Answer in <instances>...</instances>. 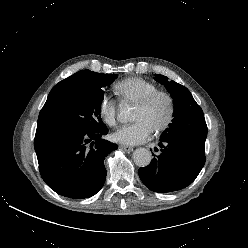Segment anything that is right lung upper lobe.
<instances>
[{
    "label": "right lung upper lobe",
    "instance_id": "right-lung-upper-lobe-1",
    "mask_svg": "<svg viewBox=\"0 0 248 248\" xmlns=\"http://www.w3.org/2000/svg\"><path fill=\"white\" fill-rule=\"evenodd\" d=\"M84 71L77 72L72 76L62 80L57 85L53 87L50 91L47 101L54 100L68 93L70 90L78 86V82L82 80V75Z\"/></svg>",
    "mask_w": 248,
    "mask_h": 248
}]
</instances>
